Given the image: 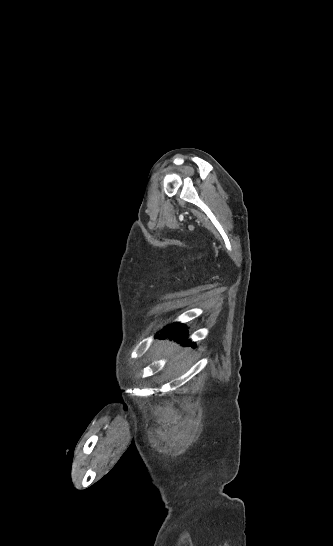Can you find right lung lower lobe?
I'll use <instances>...</instances> for the list:
<instances>
[{
  "instance_id": "1",
  "label": "right lung lower lobe",
  "mask_w": 333,
  "mask_h": 546,
  "mask_svg": "<svg viewBox=\"0 0 333 546\" xmlns=\"http://www.w3.org/2000/svg\"><path fill=\"white\" fill-rule=\"evenodd\" d=\"M187 329L184 328V325L181 323H174L173 325L166 326L160 333L161 338H172L180 343H183L185 345L190 344L187 340ZM158 337V335L156 336ZM194 345V344H192ZM195 347V345H194Z\"/></svg>"
}]
</instances>
